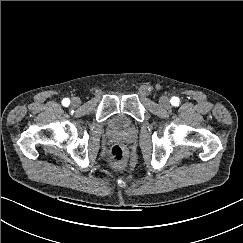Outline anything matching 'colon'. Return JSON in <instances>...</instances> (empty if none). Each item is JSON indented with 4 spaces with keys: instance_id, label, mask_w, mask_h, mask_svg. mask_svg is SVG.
Returning a JSON list of instances; mask_svg holds the SVG:
<instances>
[{
    "instance_id": "obj_1",
    "label": "colon",
    "mask_w": 243,
    "mask_h": 243,
    "mask_svg": "<svg viewBox=\"0 0 243 243\" xmlns=\"http://www.w3.org/2000/svg\"><path fill=\"white\" fill-rule=\"evenodd\" d=\"M108 162L113 168H122L126 162L125 149L120 145L112 146L108 153Z\"/></svg>"
}]
</instances>
